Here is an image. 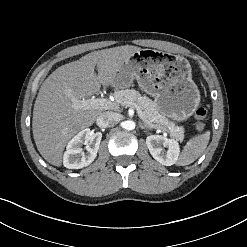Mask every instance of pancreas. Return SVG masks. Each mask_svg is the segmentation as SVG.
<instances>
[{
	"instance_id": "obj_1",
	"label": "pancreas",
	"mask_w": 247,
	"mask_h": 247,
	"mask_svg": "<svg viewBox=\"0 0 247 247\" xmlns=\"http://www.w3.org/2000/svg\"><path fill=\"white\" fill-rule=\"evenodd\" d=\"M114 97L116 102L121 106H128V102L136 103L142 110L144 118L147 121L154 123V125L163 127L168 131L170 136L175 139L183 140V128L175 127L172 122H169L168 119L159 112L156 104L146 95L142 96L135 89H125L115 91Z\"/></svg>"
}]
</instances>
